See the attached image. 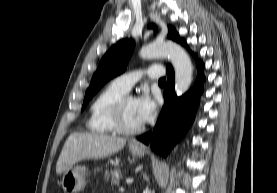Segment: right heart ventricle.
<instances>
[{
    "mask_svg": "<svg viewBox=\"0 0 277 193\" xmlns=\"http://www.w3.org/2000/svg\"><path fill=\"white\" fill-rule=\"evenodd\" d=\"M125 93L112 82L95 97L89 107L86 123L90 132L100 135L115 133L110 118V110L112 105Z\"/></svg>",
    "mask_w": 277,
    "mask_h": 193,
    "instance_id": "e07e8e85",
    "label": "right heart ventricle"
}]
</instances>
